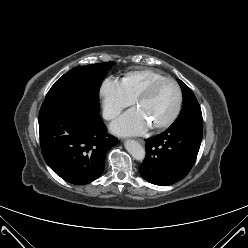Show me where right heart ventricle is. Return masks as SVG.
<instances>
[{
  "label": "right heart ventricle",
  "mask_w": 248,
  "mask_h": 248,
  "mask_svg": "<svg viewBox=\"0 0 248 248\" xmlns=\"http://www.w3.org/2000/svg\"><path fill=\"white\" fill-rule=\"evenodd\" d=\"M161 78H164V76L159 72L143 69L126 73L121 83L127 94L134 100L151 82Z\"/></svg>",
  "instance_id": "e07e8e85"
}]
</instances>
